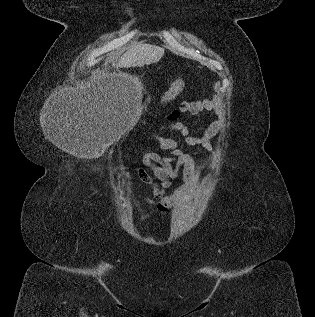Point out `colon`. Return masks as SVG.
Segmentation results:
<instances>
[{
    "mask_svg": "<svg viewBox=\"0 0 315 317\" xmlns=\"http://www.w3.org/2000/svg\"><path fill=\"white\" fill-rule=\"evenodd\" d=\"M185 83H184V80L183 79H180L176 85L172 88L171 92L169 93L168 95V100L174 98L176 95H178L183 87H184Z\"/></svg>",
    "mask_w": 315,
    "mask_h": 317,
    "instance_id": "5ec220e1",
    "label": "colon"
}]
</instances>
